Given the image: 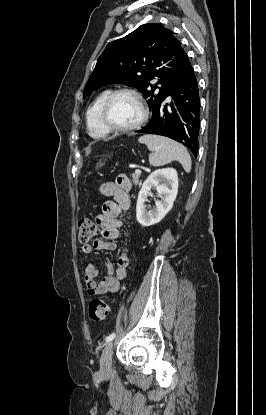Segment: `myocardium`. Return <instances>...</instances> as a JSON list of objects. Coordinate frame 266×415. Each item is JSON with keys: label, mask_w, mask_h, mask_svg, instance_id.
Masks as SVG:
<instances>
[{"label": "myocardium", "mask_w": 266, "mask_h": 415, "mask_svg": "<svg viewBox=\"0 0 266 415\" xmlns=\"http://www.w3.org/2000/svg\"><path fill=\"white\" fill-rule=\"evenodd\" d=\"M121 94H128V95L133 96L141 108L140 119L135 124L128 126V127H119V126L114 125L111 122L110 117H109V111H110V107H111L113 100ZM148 116H149V111L142 96L140 95L139 92L131 88H120V89H116L112 91L105 99L102 109H101V121L103 125L110 132H115V133H128V132H132V131L139 129L147 121Z\"/></svg>", "instance_id": "obj_1"}]
</instances>
